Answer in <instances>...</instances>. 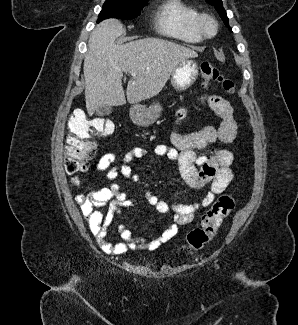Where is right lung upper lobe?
Wrapping results in <instances>:
<instances>
[{
	"instance_id": "right-lung-upper-lobe-1",
	"label": "right lung upper lobe",
	"mask_w": 298,
	"mask_h": 325,
	"mask_svg": "<svg viewBox=\"0 0 298 325\" xmlns=\"http://www.w3.org/2000/svg\"><path fill=\"white\" fill-rule=\"evenodd\" d=\"M115 1H131V2H140V3H143L144 0H115Z\"/></svg>"
}]
</instances>
